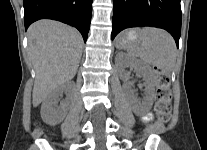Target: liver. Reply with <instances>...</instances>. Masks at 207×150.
Returning a JSON list of instances; mask_svg holds the SVG:
<instances>
[{"mask_svg":"<svg viewBox=\"0 0 207 150\" xmlns=\"http://www.w3.org/2000/svg\"><path fill=\"white\" fill-rule=\"evenodd\" d=\"M29 56L35 70L32 94L34 107L76 74L83 40L70 26L53 20H39L28 31Z\"/></svg>","mask_w":207,"mask_h":150,"instance_id":"liver-1","label":"liver"}]
</instances>
